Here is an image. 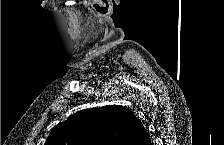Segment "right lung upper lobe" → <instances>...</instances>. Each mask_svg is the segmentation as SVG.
Masks as SVG:
<instances>
[{
	"label": "right lung upper lobe",
	"instance_id": "cb5924a9",
	"mask_svg": "<svg viewBox=\"0 0 224 145\" xmlns=\"http://www.w3.org/2000/svg\"><path fill=\"white\" fill-rule=\"evenodd\" d=\"M45 145H151V140L130 109L107 105L74 113L52 128Z\"/></svg>",
	"mask_w": 224,
	"mask_h": 145
}]
</instances>
